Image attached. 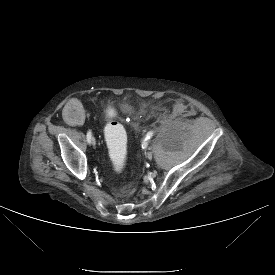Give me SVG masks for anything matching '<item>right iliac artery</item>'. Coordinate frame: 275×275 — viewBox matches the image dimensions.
I'll return each mask as SVG.
<instances>
[{"instance_id":"1","label":"right iliac artery","mask_w":275,"mask_h":275,"mask_svg":"<svg viewBox=\"0 0 275 275\" xmlns=\"http://www.w3.org/2000/svg\"><path fill=\"white\" fill-rule=\"evenodd\" d=\"M91 136H92L91 131H88V133H87V141H88V143L91 142Z\"/></svg>"}]
</instances>
